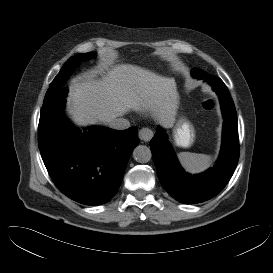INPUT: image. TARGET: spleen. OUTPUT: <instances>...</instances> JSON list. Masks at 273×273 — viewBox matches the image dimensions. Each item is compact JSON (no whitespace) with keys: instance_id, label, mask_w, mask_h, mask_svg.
<instances>
[{"instance_id":"spleen-1","label":"spleen","mask_w":273,"mask_h":273,"mask_svg":"<svg viewBox=\"0 0 273 273\" xmlns=\"http://www.w3.org/2000/svg\"><path fill=\"white\" fill-rule=\"evenodd\" d=\"M182 165L192 173L201 172L208 168L212 162V156L205 154L183 152L179 154Z\"/></svg>"}]
</instances>
